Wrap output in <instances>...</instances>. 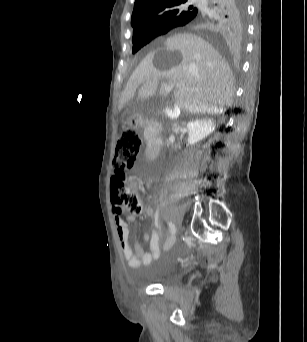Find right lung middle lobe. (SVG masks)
Returning <instances> with one entry per match:
<instances>
[{"label":"right lung middle lobe","instance_id":"right-lung-middle-lobe-1","mask_svg":"<svg viewBox=\"0 0 307 342\" xmlns=\"http://www.w3.org/2000/svg\"><path fill=\"white\" fill-rule=\"evenodd\" d=\"M167 33V31H151V32H144L133 35V49L132 53H136L138 50H140L143 46L148 44L150 41H152L157 36L163 35Z\"/></svg>","mask_w":307,"mask_h":342}]
</instances>
